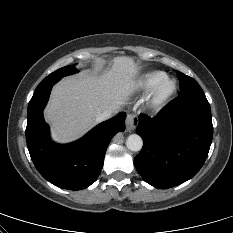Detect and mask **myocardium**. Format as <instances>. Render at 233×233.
<instances>
[{
  "label": "myocardium",
  "mask_w": 233,
  "mask_h": 233,
  "mask_svg": "<svg viewBox=\"0 0 233 233\" xmlns=\"http://www.w3.org/2000/svg\"><path fill=\"white\" fill-rule=\"evenodd\" d=\"M177 91L176 81L169 77H162L153 87L149 97V105L152 108H159L167 103Z\"/></svg>",
  "instance_id": "1"
}]
</instances>
